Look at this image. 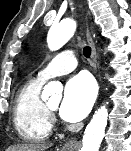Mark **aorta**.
Listing matches in <instances>:
<instances>
[{"instance_id":"1","label":"aorta","mask_w":131,"mask_h":151,"mask_svg":"<svg viewBox=\"0 0 131 151\" xmlns=\"http://www.w3.org/2000/svg\"><path fill=\"white\" fill-rule=\"evenodd\" d=\"M75 30L76 22L72 19H65L59 24L52 26L48 33L49 48L51 50L61 48L74 35ZM56 87L57 84L55 82L49 83L45 87V93L53 94ZM107 120L108 110L105 106H102L95 112L85 129L81 151H99L105 134Z\"/></svg>"}]
</instances>
